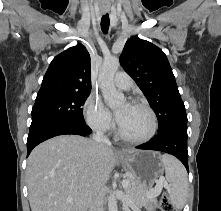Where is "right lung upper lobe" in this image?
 Masks as SVG:
<instances>
[{
    "label": "right lung upper lobe",
    "instance_id": "obj_1",
    "mask_svg": "<svg viewBox=\"0 0 221 211\" xmlns=\"http://www.w3.org/2000/svg\"><path fill=\"white\" fill-rule=\"evenodd\" d=\"M90 90V55L84 45L77 44L52 60L39 92Z\"/></svg>",
    "mask_w": 221,
    "mask_h": 211
}]
</instances>
